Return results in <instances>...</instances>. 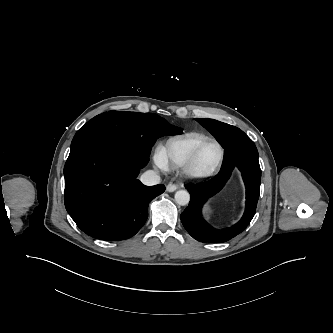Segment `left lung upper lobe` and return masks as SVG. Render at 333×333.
<instances>
[{"label": "left lung upper lobe", "mask_w": 333, "mask_h": 333, "mask_svg": "<svg viewBox=\"0 0 333 333\" xmlns=\"http://www.w3.org/2000/svg\"><path fill=\"white\" fill-rule=\"evenodd\" d=\"M196 121L213 134L224 149L228 141H230L233 137L244 133L235 126H231L217 120L196 118Z\"/></svg>", "instance_id": "obj_1"}]
</instances>
